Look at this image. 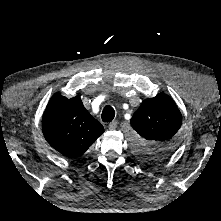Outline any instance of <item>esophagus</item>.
I'll return each instance as SVG.
<instances>
[{
    "label": "esophagus",
    "instance_id": "34e87169",
    "mask_svg": "<svg viewBox=\"0 0 221 221\" xmlns=\"http://www.w3.org/2000/svg\"><path fill=\"white\" fill-rule=\"evenodd\" d=\"M118 122L116 120L112 121L109 125L108 128L109 130H115L117 128Z\"/></svg>",
    "mask_w": 221,
    "mask_h": 221
}]
</instances>
